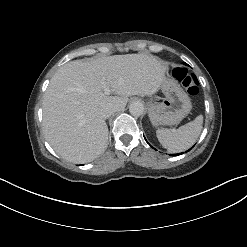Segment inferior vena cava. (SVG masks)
<instances>
[{
	"label": "inferior vena cava",
	"mask_w": 247,
	"mask_h": 247,
	"mask_svg": "<svg viewBox=\"0 0 247 247\" xmlns=\"http://www.w3.org/2000/svg\"><path fill=\"white\" fill-rule=\"evenodd\" d=\"M117 109L115 107H105L101 111V115L103 118H109Z\"/></svg>",
	"instance_id": "1"
}]
</instances>
